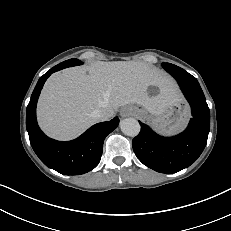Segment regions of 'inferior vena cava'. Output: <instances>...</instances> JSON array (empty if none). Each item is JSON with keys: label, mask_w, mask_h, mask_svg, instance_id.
Here are the masks:
<instances>
[{"label": "inferior vena cava", "mask_w": 231, "mask_h": 231, "mask_svg": "<svg viewBox=\"0 0 231 231\" xmlns=\"http://www.w3.org/2000/svg\"><path fill=\"white\" fill-rule=\"evenodd\" d=\"M113 111L108 109H99L93 112V117L98 121H107L113 116Z\"/></svg>", "instance_id": "obj_1"}]
</instances>
